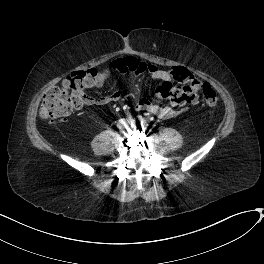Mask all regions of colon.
Returning a JSON list of instances; mask_svg holds the SVG:
<instances>
[{
  "label": "colon",
  "instance_id": "5ec220e1",
  "mask_svg": "<svg viewBox=\"0 0 264 264\" xmlns=\"http://www.w3.org/2000/svg\"><path fill=\"white\" fill-rule=\"evenodd\" d=\"M102 72L107 70L100 71L93 68L69 74L60 85L46 92L39 107L40 117L47 121H55L80 110L85 103L83 80L86 77H96ZM170 73L179 85L164 83L158 89L160 97L175 105L193 103L196 99L197 82L182 67L176 66ZM201 92L207 105L217 104L218 94L212 86L203 84Z\"/></svg>",
  "mask_w": 264,
  "mask_h": 264
}]
</instances>
